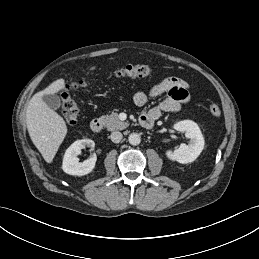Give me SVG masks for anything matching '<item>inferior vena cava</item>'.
<instances>
[{"label": "inferior vena cava", "instance_id": "obj_1", "mask_svg": "<svg viewBox=\"0 0 259 259\" xmlns=\"http://www.w3.org/2000/svg\"><path fill=\"white\" fill-rule=\"evenodd\" d=\"M122 137H123V135L119 131L112 132L110 135V138H111L112 142H114V143H119L121 141Z\"/></svg>", "mask_w": 259, "mask_h": 259}]
</instances>
